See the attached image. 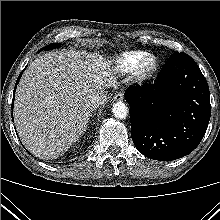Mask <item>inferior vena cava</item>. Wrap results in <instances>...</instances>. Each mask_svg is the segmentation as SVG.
Masks as SVG:
<instances>
[{"mask_svg": "<svg viewBox=\"0 0 220 220\" xmlns=\"http://www.w3.org/2000/svg\"><path fill=\"white\" fill-rule=\"evenodd\" d=\"M103 104V97L100 96L99 94H93L92 96H90V100H89V105L95 109L97 108L99 105Z\"/></svg>", "mask_w": 220, "mask_h": 220, "instance_id": "1", "label": "inferior vena cava"}]
</instances>
